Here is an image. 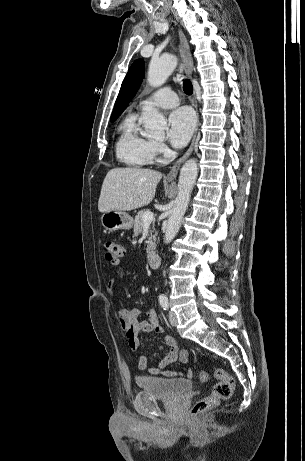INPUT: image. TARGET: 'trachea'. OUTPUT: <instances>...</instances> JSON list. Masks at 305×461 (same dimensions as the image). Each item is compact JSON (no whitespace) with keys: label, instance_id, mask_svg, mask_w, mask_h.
Returning a JSON list of instances; mask_svg holds the SVG:
<instances>
[{"label":"trachea","instance_id":"1","mask_svg":"<svg viewBox=\"0 0 305 461\" xmlns=\"http://www.w3.org/2000/svg\"><path fill=\"white\" fill-rule=\"evenodd\" d=\"M183 90L188 95H191L193 93L192 83L188 79L184 80L183 82Z\"/></svg>","mask_w":305,"mask_h":461}]
</instances>
